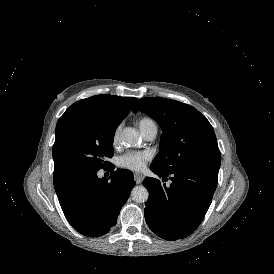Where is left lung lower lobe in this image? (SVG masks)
Returning <instances> with one entry per match:
<instances>
[{
    "instance_id": "0a47b994",
    "label": "left lung lower lobe",
    "mask_w": 274,
    "mask_h": 274,
    "mask_svg": "<svg viewBox=\"0 0 274 274\" xmlns=\"http://www.w3.org/2000/svg\"><path fill=\"white\" fill-rule=\"evenodd\" d=\"M150 169L163 181L167 176L170 187L155 178H145L143 185L149 191L144 210L150 229L166 240H177L190 235L202 222L217 187L218 172L189 168L163 171Z\"/></svg>"
}]
</instances>
